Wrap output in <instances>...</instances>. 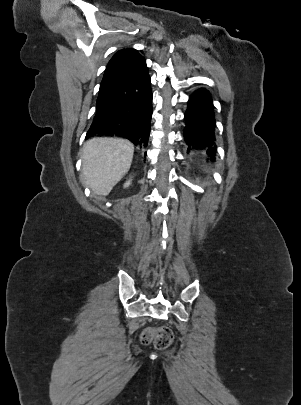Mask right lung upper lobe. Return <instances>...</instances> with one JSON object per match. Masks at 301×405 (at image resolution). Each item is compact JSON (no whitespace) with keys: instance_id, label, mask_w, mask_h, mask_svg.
<instances>
[{"instance_id":"1","label":"right lung upper lobe","mask_w":301,"mask_h":405,"mask_svg":"<svg viewBox=\"0 0 301 405\" xmlns=\"http://www.w3.org/2000/svg\"><path fill=\"white\" fill-rule=\"evenodd\" d=\"M143 57L135 49H123L109 61L100 85V93L119 82ZM99 93V94H100Z\"/></svg>"}]
</instances>
